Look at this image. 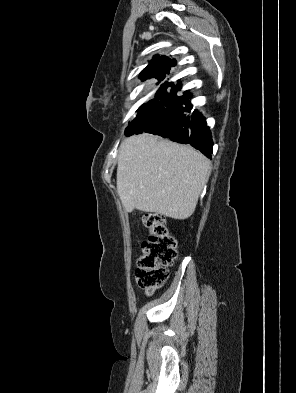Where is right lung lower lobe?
I'll return each instance as SVG.
<instances>
[{"label":"right lung lower lobe","instance_id":"1","mask_svg":"<svg viewBox=\"0 0 296 393\" xmlns=\"http://www.w3.org/2000/svg\"><path fill=\"white\" fill-rule=\"evenodd\" d=\"M168 85L172 87V92L167 93V85H163L157 92L156 99L148 102L126 128L125 135L144 132L159 135L178 143L190 144L211 158L212 136L205 118L197 110L190 113L192 105L188 92L177 97L180 83ZM183 104L186 107H182Z\"/></svg>","mask_w":296,"mask_h":393}]
</instances>
